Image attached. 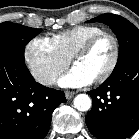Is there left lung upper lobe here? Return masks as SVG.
<instances>
[{
    "mask_svg": "<svg viewBox=\"0 0 139 139\" xmlns=\"http://www.w3.org/2000/svg\"><path fill=\"white\" fill-rule=\"evenodd\" d=\"M102 22L107 24L116 34L119 42V56L116 67L126 61L132 54L139 53V30L125 18L106 13L88 22Z\"/></svg>",
    "mask_w": 139,
    "mask_h": 139,
    "instance_id": "5c2ea615",
    "label": "left lung upper lobe"
}]
</instances>
